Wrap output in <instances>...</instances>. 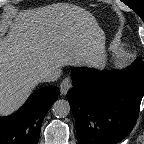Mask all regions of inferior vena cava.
<instances>
[{
  "instance_id": "inferior-vena-cava-1",
  "label": "inferior vena cava",
  "mask_w": 144,
  "mask_h": 144,
  "mask_svg": "<svg viewBox=\"0 0 144 144\" xmlns=\"http://www.w3.org/2000/svg\"><path fill=\"white\" fill-rule=\"evenodd\" d=\"M60 69H48L41 75V80L45 82L56 81L59 78Z\"/></svg>"
}]
</instances>
